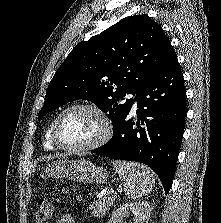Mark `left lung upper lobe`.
Masks as SVG:
<instances>
[{
	"instance_id": "obj_1",
	"label": "left lung upper lobe",
	"mask_w": 221,
	"mask_h": 223,
	"mask_svg": "<svg viewBox=\"0 0 221 223\" xmlns=\"http://www.w3.org/2000/svg\"><path fill=\"white\" fill-rule=\"evenodd\" d=\"M169 46L162 27L147 15L123 18L74 47L51 80L38 119L85 99L108 113L115 131L132 104L123 96L137 94L151 80Z\"/></svg>"
}]
</instances>
